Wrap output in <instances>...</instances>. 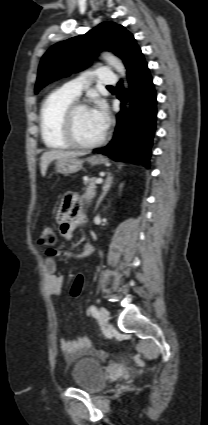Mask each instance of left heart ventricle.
Instances as JSON below:
<instances>
[{
  "label": "left heart ventricle",
  "instance_id": "left-heart-ventricle-1",
  "mask_svg": "<svg viewBox=\"0 0 208 425\" xmlns=\"http://www.w3.org/2000/svg\"><path fill=\"white\" fill-rule=\"evenodd\" d=\"M74 131L76 137L84 143L94 142L101 138L104 133L90 109H81L76 112Z\"/></svg>",
  "mask_w": 208,
  "mask_h": 425
}]
</instances>
